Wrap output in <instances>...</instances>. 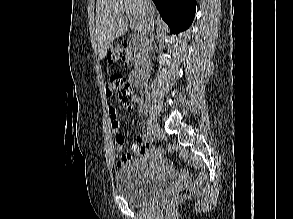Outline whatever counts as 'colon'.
<instances>
[{"instance_id":"colon-1","label":"colon","mask_w":293,"mask_h":219,"mask_svg":"<svg viewBox=\"0 0 293 219\" xmlns=\"http://www.w3.org/2000/svg\"><path fill=\"white\" fill-rule=\"evenodd\" d=\"M135 59L134 53L127 44L123 43L113 47L109 52L110 62H123L128 65ZM109 87L115 93L117 99L130 110L129 102L133 97V90L127 83L126 79L120 74H114L109 81ZM205 176L201 175L194 183L184 182L178 189L173 192L172 201H179L188 198L204 181Z\"/></svg>"}]
</instances>
